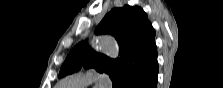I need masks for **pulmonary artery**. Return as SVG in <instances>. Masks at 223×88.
Returning a JSON list of instances; mask_svg holds the SVG:
<instances>
[{
	"mask_svg": "<svg viewBox=\"0 0 223 88\" xmlns=\"http://www.w3.org/2000/svg\"><path fill=\"white\" fill-rule=\"evenodd\" d=\"M90 83H96L100 87L107 88L110 85L108 77L92 71L72 74L59 82L60 87H83Z\"/></svg>",
	"mask_w": 223,
	"mask_h": 88,
	"instance_id": "e3ab8cb5",
	"label": "pulmonary artery"
}]
</instances>
